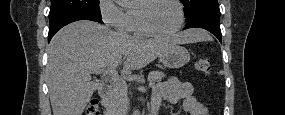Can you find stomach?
<instances>
[{"instance_id":"1","label":"stomach","mask_w":285,"mask_h":115,"mask_svg":"<svg viewBox=\"0 0 285 115\" xmlns=\"http://www.w3.org/2000/svg\"><path fill=\"white\" fill-rule=\"evenodd\" d=\"M160 62L167 68H180L190 60V53L184 47L175 44L159 54Z\"/></svg>"}]
</instances>
